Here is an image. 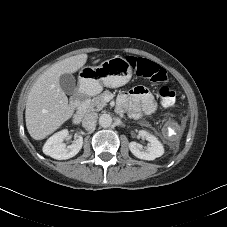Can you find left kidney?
I'll return each instance as SVG.
<instances>
[{
  "label": "left kidney",
  "instance_id": "1",
  "mask_svg": "<svg viewBox=\"0 0 227 227\" xmlns=\"http://www.w3.org/2000/svg\"><path fill=\"white\" fill-rule=\"evenodd\" d=\"M139 135L144 137L150 146L144 149L139 143L130 142L129 149L134 156L143 160H154L164 154L163 145L158 138L144 130L139 131Z\"/></svg>",
  "mask_w": 227,
  "mask_h": 227
}]
</instances>
